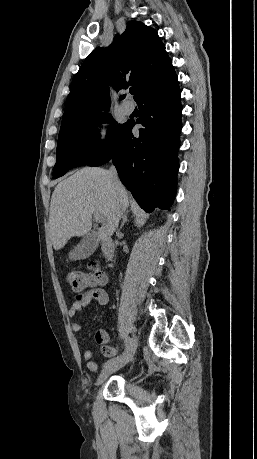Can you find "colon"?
<instances>
[{
    "label": "colon",
    "mask_w": 257,
    "mask_h": 459,
    "mask_svg": "<svg viewBox=\"0 0 257 459\" xmlns=\"http://www.w3.org/2000/svg\"><path fill=\"white\" fill-rule=\"evenodd\" d=\"M66 281L68 285L80 293L78 298H81L89 286L105 283L106 275L96 264H91L87 270L71 269L67 271Z\"/></svg>",
    "instance_id": "5ec220e1"
}]
</instances>
